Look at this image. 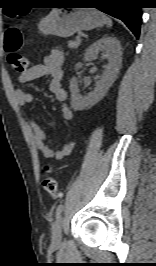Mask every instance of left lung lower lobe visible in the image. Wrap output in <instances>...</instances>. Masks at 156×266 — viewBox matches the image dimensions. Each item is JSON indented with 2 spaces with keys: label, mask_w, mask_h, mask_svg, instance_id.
Instances as JSON below:
<instances>
[{
  "label": "left lung lower lobe",
  "mask_w": 156,
  "mask_h": 266,
  "mask_svg": "<svg viewBox=\"0 0 156 266\" xmlns=\"http://www.w3.org/2000/svg\"><path fill=\"white\" fill-rule=\"evenodd\" d=\"M74 6L98 8L102 12L122 20L132 33L139 38L142 20L140 0H66Z\"/></svg>",
  "instance_id": "obj_1"
}]
</instances>
